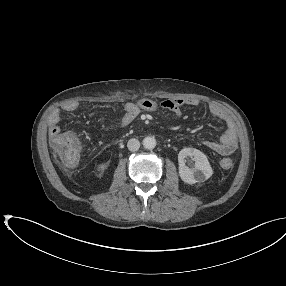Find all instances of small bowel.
I'll use <instances>...</instances> for the list:
<instances>
[{
	"label": "small bowel",
	"mask_w": 286,
	"mask_h": 286,
	"mask_svg": "<svg viewBox=\"0 0 286 286\" xmlns=\"http://www.w3.org/2000/svg\"><path fill=\"white\" fill-rule=\"evenodd\" d=\"M198 104L199 101L196 99L182 98L168 99L160 103L146 98L140 99L136 103L128 102L123 105V114L120 120V126L124 128L130 125L143 111L162 112L173 118H180L182 116V108L185 105L197 106ZM78 107L79 104L77 102H69L63 105L61 110L57 109L51 113L49 118V133L51 137L59 134L60 132L58 124L60 122L61 112L71 113L76 111ZM208 109L214 117L218 118L225 124L226 130L219 141L205 140L202 144L204 147L217 154L223 156L231 155L238 147L236 127L233 119L225 109L217 104H210Z\"/></svg>",
	"instance_id": "1"
}]
</instances>
